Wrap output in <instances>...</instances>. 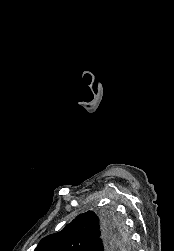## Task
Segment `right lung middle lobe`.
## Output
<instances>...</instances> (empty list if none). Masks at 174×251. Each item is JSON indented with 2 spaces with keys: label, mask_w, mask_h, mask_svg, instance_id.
Returning <instances> with one entry per match:
<instances>
[{
  "label": "right lung middle lobe",
  "mask_w": 174,
  "mask_h": 251,
  "mask_svg": "<svg viewBox=\"0 0 174 251\" xmlns=\"http://www.w3.org/2000/svg\"><path fill=\"white\" fill-rule=\"evenodd\" d=\"M106 220L110 221L111 223H114L119 226L121 235L124 237V243H123V248H126L128 244L127 236L125 235L122 226L119 224L117 217L113 213H107L103 216ZM122 248V249H123Z\"/></svg>",
  "instance_id": "right-lung-middle-lobe-1"
}]
</instances>
